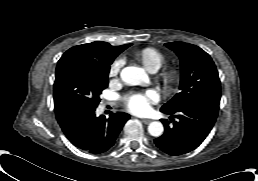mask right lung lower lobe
<instances>
[{
	"label": "right lung lower lobe",
	"mask_w": 258,
	"mask_h": 181,
	"mask_svg": "<svg viewBox=\"0 0 258 181\" xmlns=\"http://www.w3.org/2000/svg\"><path fill=\"white\" fill-rule=\"evenodd\" d=\"M57 121L70 142L77 148L93 154L110 149L125 122L124 113H113L108 119L95 116V109L76 104L55 107Z\"/></svg>",
	"instance_id": "98d812e1"
}]
</instances>
